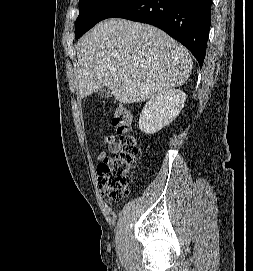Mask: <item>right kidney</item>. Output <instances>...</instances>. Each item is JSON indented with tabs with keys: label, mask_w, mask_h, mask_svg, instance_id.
I'll use <instances>...</instances> for the list:
<instances>
[{
	"label": "right kidney",
	"mask_w": 253,
	"mask_h": 271,
	"mask_svg": "<svg viewBox=\"0 0 253 271\" xmlns=\"http://www.w3.org/2000/svg\"><path fill=\"white\" fill-rule=\"evenodd\" d=\"M186 94L180 89H169L150 99L139 117V128L145 134H155L169 125L180 113Z\"/></svg>",
	"instance_id": "right-kidney-1"
}]
</instances>
